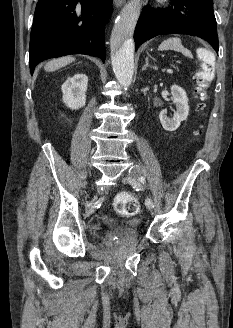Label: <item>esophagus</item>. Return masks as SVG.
I'll return each mask as SVG.
<instances>
[{"mask_svg":"<svg viewBox=\"0 0 233 328\" xmlns=\"http://www.w3.org/2000/svg\"><path fill=\"white\" fill-rule=\"evenodd\" d=\"M116 7H121L124 4V0H113Z\"/></svg>","mask_w":233,"mask_h":328,"instance_id":"obj_1","label":"esophagus"}]
</instances>
